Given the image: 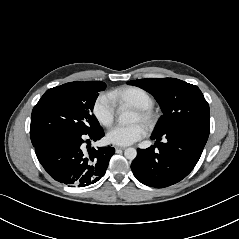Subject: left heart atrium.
<instances>
[{
	"mask_svg": "<svg viewBox=\"0 0 239 239\" xmlns=\"http://www.w3.org/2000/svg\"><path fill=\"white\" fill-rule=\"evenodd\" d=\"M145 134L146 127L142 123L128 126L116 125L108 131L107 139L112 144L126 146L140 140Z\"/></svg>",
	"mask_w": 239,
	"mask_h": 239,
	"instance_id": "left-heart-atrium-1",
	"label": "left heart atrium"
}]
</instances>
